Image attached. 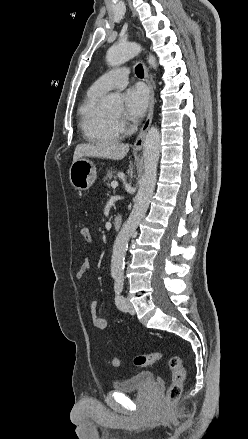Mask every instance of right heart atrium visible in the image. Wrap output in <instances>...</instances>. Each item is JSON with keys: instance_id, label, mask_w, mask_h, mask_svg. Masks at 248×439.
<instances>
[{"instance_id": "1", "label": "right heart atrium", "mask_w": 248, "mask_h": 439, "mask_svg": "<svg viewBox=\"0 0 248 439\" xmlns=\"http://www.w3.org/2000/svg\"><path fill=\"white\" fill-rule=\"evenodd\" d=\"M119 124H120L119 126H120L121 128H124V127H125V124H124V123L120 122Z\"/></svg>"}]
</instances>
